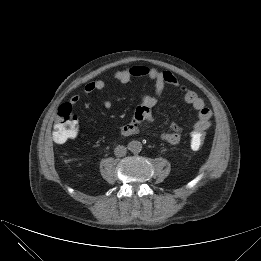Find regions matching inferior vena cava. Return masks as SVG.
Listing matches in <instances>:
<instances>
[{"mask_svg":"<svg viewBox=\"0 0 261 261\" xmlns=\"http://www.w3.org/2000/svg\"><path fill=\"white\" fill-rule=\"evenodd\" d=\"M127 152V148L122 146V145H118L115 149H114V154L117 157H122L125 156Z\"/></svg>","mask_w":261,"mask_h":261,"instance_id":"1","label":"inferior vena cava"}]
</instances>
